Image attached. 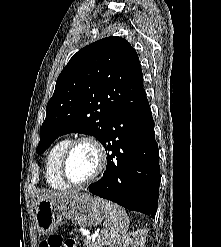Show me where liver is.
<instances>
[{"label": "liver", "instance_id": "1", "mask_svg": "<svg viewBox=\"0 0 221 247\" xmlns=\"http://www.w3.org/2000/svg\"><path fill=\"white\" fill-rule=\"evenodd\" d=\"M77 193L75 192H46L40 196H37V202L38 204L42 200H52V201H60L67 198H70L71 196L75 195Z\"/></svg>", "mask_w": 221, "mask_h": 247}]
</instances>
